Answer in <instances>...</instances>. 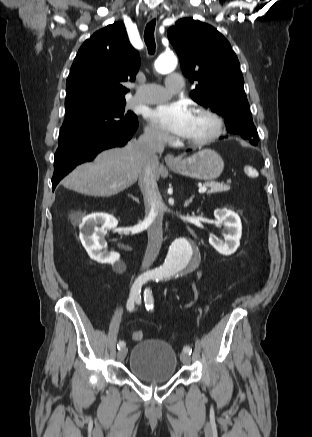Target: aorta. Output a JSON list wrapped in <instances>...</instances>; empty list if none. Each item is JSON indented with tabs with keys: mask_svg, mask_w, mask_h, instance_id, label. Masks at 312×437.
Instances as JSON below:
<instances>
[{
	"mask_svg": "<svg viewBox=\"0 0 312 437\" xmlns=\"http://www.w3.org/2000/svg\"><path fill=\"white\" fill-rule=\"evenodd\" d=\"M177 58L173 53H164L155 61V69L166 74L175 69ZM198 259V251L191 242L178 238L171 244L163 265L159 268L164 276H172L188 270Z\"/></svg>",
	"mask_w": 312,
	"mask_h": 437,
	"instance_id": "aorta-1",
	"label": "aorta"
}]
</instances>
